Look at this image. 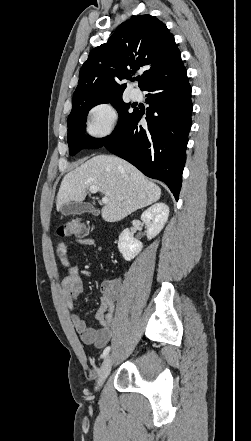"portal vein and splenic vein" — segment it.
<instances>
[{"label": "portal vein and splenic vein", "instance_id": "18ae733b", "mask_svg": "<svg viewBox=\"0 0 251 441\" xmlns=\"http://www.w3.org/2000/svg\"><path fill=\"white\" fill-rule=\"evenodd\" d=\"M89 191L91 192V193H97V192H99V187H97V186H91L90 188H89ZM102 203L103 204H108L109 203V198L108 197H103L102 198Z\"/></svg>", "mask_w": 251, "mask_h": 441}]
</instances>
